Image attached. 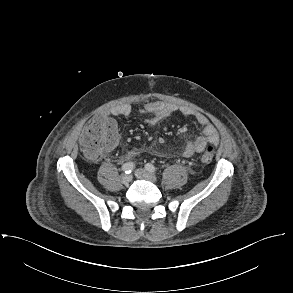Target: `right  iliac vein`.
<instances>
[{"mask_svg":"<svg viewBox=\"0 0 293 293\" xmlns=\"http://www.w3.org/2000/svg\"><path fill=\"white\" fill-rule=\"evenodd\" d=\"M131 180H132V175H130V174H122V176H121L122 183L128 184L129 182H131Z\"/></svg>","mask_w":293,"mask_h":293,"instance_id":"63e3f726","label":"right iliac vein"}]
</instances>
